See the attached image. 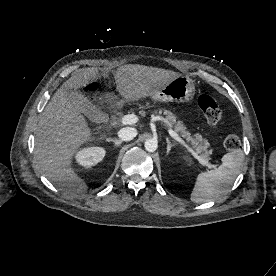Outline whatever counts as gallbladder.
I'll use <instances>...</instances> for the list:
<instances>
[{"label":"gallbladder","instance_id":"obj_1","mask_svg":"<svg viewBox=\"0 0 276 276\" xmlns=\"http://www.w3.org/2000/svg\"><path fill=\"white\" fill-rule=\"evenodd\" d=\"M68 97L77 110L86 116L90 121L100 123L105 118L104 112L94 105L81 92L77 90H69Z\"/></svg>","mask_w":276,"mask_h":276}]
</instances>
